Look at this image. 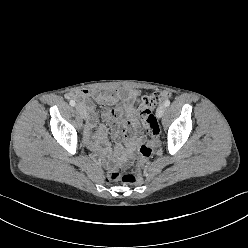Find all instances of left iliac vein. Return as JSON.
Masks as SVG:
<instances>
[{"label":"left iliac vein","instance_id":"4c4485c4","mask_svg":"<svg viewBox=\"0 0 248 248\" xmlns=\"http://www.w3.org/2000/svg\"><path fill=\"white\" fill-rule=\"evenodd\" d=\"M165 110H166V106L164 104H161L156 110V116L158 118H161L164 115Z\"/></svg>","mask_w":248,"mask_h":248}]
</instances>
